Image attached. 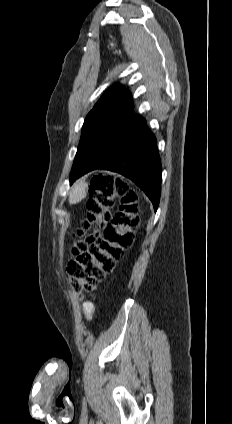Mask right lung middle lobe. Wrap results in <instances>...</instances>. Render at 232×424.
Wrapping results in <instances>:
<instances>
[{
  "label": "right lung middle lobe",
  "mask_w": 232,
  "mask_h": 424,
  "mask_svg": "<svg viewBox=\"0 0 232 424\" xmlns=\"http://www.w3.org/2000/svg\"><path fill=\"white\" fill-rule=\"evenodd\" d=\"M134 117L131 108H99L87 115L73 163L71 177L77 176L105 139Z\"/></svg>",
  "instance_id": "dd1d6c3e"
}]
</instances>
